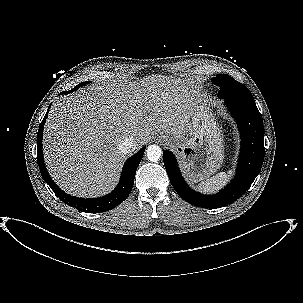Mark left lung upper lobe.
Returning <instances> with one entry per match:
<instances>
[{
  "label": "left lung upper lobe",
  "instance_id": "5c2ea615",
  "mask_svg": "<svg viewBox=\"0 0 303 303\" xmlns=\"http://www.w3.org/2000/svg\"><path fill=\"white\" fill-rule=\"evenodd\" d=\"M211 81L213 84L220 86L219 98L231 95L238 98L254 99L245 85L237 82L229 75L219 74Z\"/></svg>",
  "mask_w": 303,
  "mask_h": 303
}]
</instances>
